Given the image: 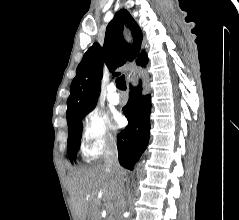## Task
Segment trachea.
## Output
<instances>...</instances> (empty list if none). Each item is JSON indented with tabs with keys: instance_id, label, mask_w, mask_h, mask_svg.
Masks as SVG:
<instances>
[{
	"instance_id": "trachea-1",
	"label": "trachea",
	"mask_w": 239,
	"mask_h": 220,
	"mask_svg": "<svg viewBox=\"0 0 239 220\" xmlns=\"http://www.w3.org/2000/svg\"><path fill=\"white\" fill-rule=\"evenodd\" d=\"M116 86L117 88L124 90L126 89V81H125V76L122 75L116 79Z\"/></svg>"
}]
</instances>
